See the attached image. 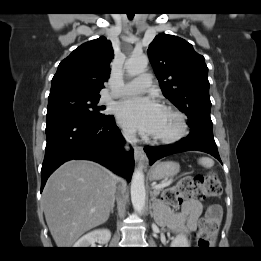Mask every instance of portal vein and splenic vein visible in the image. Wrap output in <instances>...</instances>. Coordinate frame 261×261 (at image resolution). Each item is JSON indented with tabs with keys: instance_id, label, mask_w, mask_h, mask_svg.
I'll return each mask as SVG.
<instances>
[{
	"instance_id": "1",
	"label": "portal vein and splenic vein",
	"mask_w": 261,
	"mask_h": 261,
	"mask_svg": "<svg viewBox=\"0 0 261 261\" xmlns=\"http://www.w3.org/2000/svg\"><path fill=\"white\" fill-rule=\"evenodd\" d=\"M171 182H172V180H169V181H165V182H162L160 184L154 185L153 189L164 188V187L170 185Z\"/></svg>"
}]
</instances>
